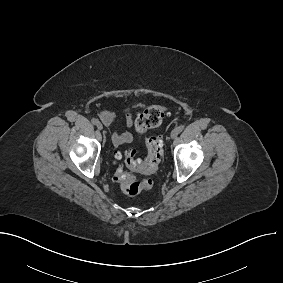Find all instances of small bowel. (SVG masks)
I'll return each mask as SVG.
<instances>
[{
  "instance_id": "1",
  "label": "small bowel",
  "mask_w": 283,
  "mask_h": 283,
  "mask_svg": "<svg viewBox=\"0 0 283 283\" xmlns=\"http://www.w3.org/2000/svg\"><path fill=\"white\" fill-rule=\"evenodd\" d=\"M122 114L126 126L131 127L133 125L132 108L130 107L123 108ZM100 119L102 123L106 126H110L113 123L120 120L119 116L116 113L108 110H102L100 112ZM132 141H133V134L129 131H124V132L116 131L112 134V143L115 146H120L122 144L130 143Z\"/></svg>"
}]
</instances>
